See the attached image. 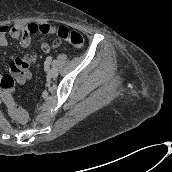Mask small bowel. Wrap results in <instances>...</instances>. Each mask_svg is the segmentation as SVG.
<instances>
[{
    "label": "small bowel",
    "mask_w": 172,
    "mask_h": 172,
    "mask_svg": "<svg viewBox=\"0 0 172 172\" xmlns=\"http://www.w3.org/2000/svg\"><path fill=\"white\" fill-rule=\"evenodd\" d=\"M31 25V24H30ZM38 27H47L48 31L43 32V31H37L34 34H41V35H47L53 33L54 28L49 25V24H41L37 25L34 24ZM27 26H22V25H15L12 28H9L8 26L2 25L0 26V47H6L9 43L8 37L12 38L16 42H18L22 47H27L31 43V36L28 37L26 40H23V30ZM32 34V35H34ZM41 49L43 52L48 53L51 51L52 46L44 39H41ZM54 47L58 46V43L56 42ZM36 60V55L35 54H29L26 57H15L12 59L10 66L12 69L16 70L17 76H18V81L20 83L24 82L25 79L29 76V68L32 63H34Z\"/></svg>",
    "instance_id": "c3829d8e"
}]
</instances>
